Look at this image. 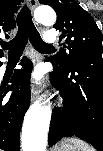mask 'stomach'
I'll return each instance as SVG.
<instances>
[{"instance_id": "obj_1", "label": "stomach", "mask_w": 103, "mask_h": 151, "mask_svg": "<svg viewBox=\"0 0 103 151\" xmlns=\"http://www.w3.org/2000/svg\"><path fill=\"white\" fill-rule=\"evenodd\" d=\"M77 149L78 147H76L68 139H65L56 147V151H77Z\"/></svg>"}]
</instances>
